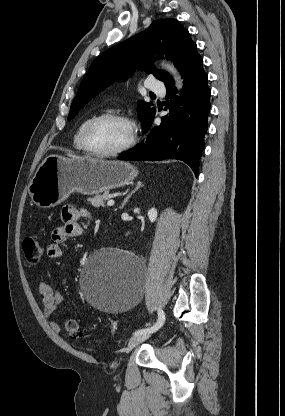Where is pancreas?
Listing matches in <instances>:
<instances>
[{"label": "pancreas", "instance_id": "pancreas-1", "mask_svg": "<svg viewBox=\"0 0 285 416\" xmlns=\"http://www.w3.org/2000/svg\"><path fill=\"white\" fill-rule=\"evenodd\" d=\"M109 192H104V194H101V196H94V198H88V202H91L92 206L94 208H105L104 204L106 200H109Z\"/></svg>", "mask_w": 285, "mask_h": 416}]
</instances>
